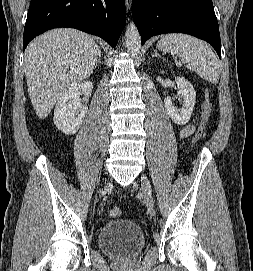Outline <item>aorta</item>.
<instances>
[{
	"instance_id": "762f6f07",
	"label": "aorta",
	"mask_w": 253,
	"mask_h": 271,
	"mask_svg": "<svg viewBox=\"0 0 253 271\" xmlns=\"http://www.w3.org/2000/svg\"><path fill=\"white\" fill-rule=\"evenodd\" d=\"M125 37L127 52L133 57L137 56L140 53L141 37L133 22L127 25Z\"/></svg>"
}]
</instances>
